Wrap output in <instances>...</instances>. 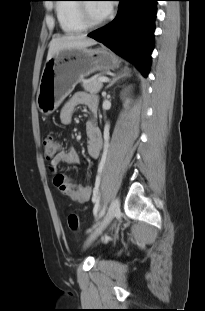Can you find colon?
I'll list each match as a JSON object with an SVG mask.
<instances>
[{"instance_id":"5ec220e1","label":"colon","mask_w":205,"mask_h":311,"mask_svg":"<svg viewBox=\"0 0 205 311\" xmlns=\"http://www.w3.org/2000/svg\"><path fill=\"white\" fill-rule=\"evenodd\" d=\"M44 158L51 161L61 149V141L53 136L47 135L43 138ZM67 225L71 232L76 235L80 233V221L76 213L71 212L67 216Z\"/></svg>"}]
</instances>
